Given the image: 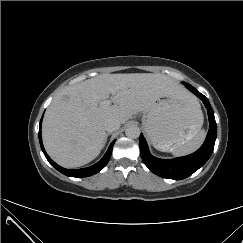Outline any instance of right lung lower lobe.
Returning a JSON list of instances; mask_svg holds the SVG:
<instances>
[{
  "label": "right lung lower lobe",
  "mask_w": 243,
  "mask_h": 243,
  "mask_svg": "<svg viewBox=\"0 0 243 243\" xmlns=\"http://www.w3.org/2000/svg\"><path fill=\"white\" fill-rule=\"evenodd\" d=\"M42 121V119H41ZM41 121H40V127H39V141H40V146H41V149L46 157V159L49 161V163L55 168L57 169L59 172L67 175V176H71V177H88V176H91V175H94L96 173H98L100 170H102L106 164L108 163L109 159H110V156H111V153H112V148H113V145L115 143V141H113L106 154L104 155V157L98 162L96 163L95 165L93 166H90V167H87V168H82V169H76V170H69V169H65V168H62L60 167L59 165H57L48 155L47 153L45 152L44 150V147H43V144H42V138H41Z\"/></svg>",
  "instance_id": "obj_1"
}]
</instances>
